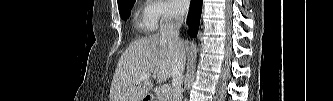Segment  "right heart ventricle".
Masks as SVG:
<instances>
[{
  "instance_id": "obj_1",
  "label": "right heart ventricle",
  "mask_w": 333,
  "mask_h": 101,
  "mask_svg": "<svg viewBox=\"0 0 333 101\" xmlns=\"http://www.w3.org/2000/svg\"><path fill=\"white\" fill-rule=\"evenodd\" d=\"M136 28L138 31L148 33L155 27L153 26V20L149 15L148 7L143 8L137 17Z\"/></svg>"
}]
</instances>
